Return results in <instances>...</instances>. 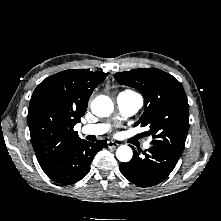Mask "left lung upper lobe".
<instances>
[{
  "instance_id": "left-lung-upper-lobe-1",
  "label": "left lung upper lobe",
  "mask_w": 221,
  "mask_h": 221,
  "mask_svg": "<svg viewBox=\"0 0 221 221\" xmlns=\"http://www.w3.org/2000/svg\"><path fill=\"white\" fill-rule=\"evenodd\" d=\"M117 82L138 89L145 111L136 125L148 126L153 146L181 156L189 129V105L181 83L156 69H134L115 73Z\"/></svg>"
}]
</instances>
